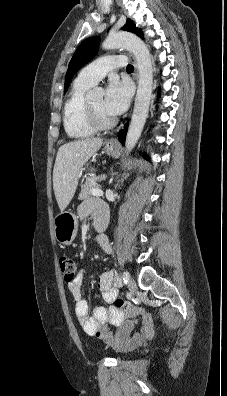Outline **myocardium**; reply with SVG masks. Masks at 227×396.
<instances>
[{
    "label": "myocardium",
    "instance_id": "myocardium-1",
    "mask_svg": "<svg viewBox=\"0 0 227 396\" xmlns=\"http://www.w3.org/2000/svg\"><path fill=\"white\" fill-rule=\"evenodd\" d=\"M85 110H86V115L87 118L90 122V124L96 129V130H105L109 129L114 124L116 123V120L112 117L110 118H104L102 117L91 105L89 100H86L85 102Z\"/></svg>",
    "mask_w": 227,
    "mask_h": 396
}]
</instances>
